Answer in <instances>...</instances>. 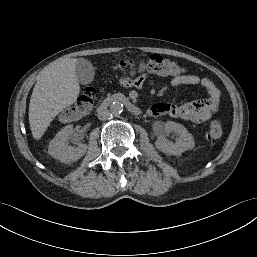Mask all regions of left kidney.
Segmentation results:
<instances>
[{"label":"left kidney","instance_id":"5707ae66","mask_svg":"<svg viewBox=\"0 0 257 257\" xmlns=\"http://www.w3.org/2000/svg\"><path fill=\"white\" fill-rule=\"evenodd\" d=\"M172 131L178 135L175 143L166 138ZM194 146L195 142L193 136L183 125L173 121H168L164 124V131L156 141V147L160 151L170 155H179L192 149Z\"/></svg>","mask_w":257,"mask_h":257}]
</instances>
